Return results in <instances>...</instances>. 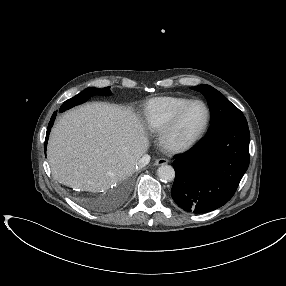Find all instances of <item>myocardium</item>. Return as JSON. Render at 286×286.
<instances>
[{"mask_svg": "<svg viewBox=\"0 0 286 286\" xmlns=\"http://www.w3.org/2000/svg\"><path fill=\"white\" fill-rule=\"evenodd\" d=\"M195 104H201L204 106L206 110V122L204 127L201 129V131L196 134L191 139L177 143L173 140L172 136L178 125L180 124L182 118L186 114V112ZM211 122V111L208 105L201 100H192L189 102L186 106H184L176 115L175 117L161 130L159 135V141L160 144L167 150L172 152H181L185 151L191 147H193L195 144H197L203 136L206 134Z\"/></svg>", "mask_w": 286, "mask_h": 286, "instance_id": "f54148a6", "label": "myocardium"}]
</instances>
